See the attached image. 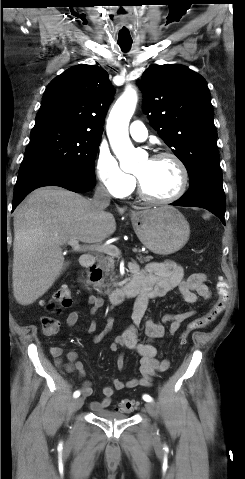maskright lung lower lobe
<instances>
[{
	"label": "right lung lower lobe",
	"mask_w": 245,
	"mask_h": 479,
	"mask_svg": "<svg viewBox=\"0 0 245 479\" xmlns=\"http://www.w3.org/2000/svg\"><path fill=\"white\" fill-rule=\"evenodd\" d=\"M43 186H60L83 193L95 186V180L70 170L42 167L20 173L14 188L12 211L33 190Z\"/></svg>",
	"instance_id": "obj_1"
}]
</instances>
